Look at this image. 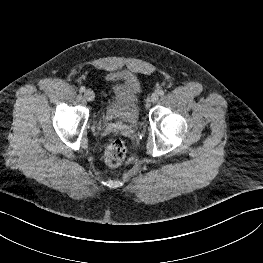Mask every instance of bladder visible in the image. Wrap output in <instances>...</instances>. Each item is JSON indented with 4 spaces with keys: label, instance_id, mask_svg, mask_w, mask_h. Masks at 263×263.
<instances>
[{
    "label": "bladder",
    "instance_id": "1",
    "mask_svg": "<svg viewBox=\"0 0 263 263\" xmlns=\"http://www.w3.org/2000/svg\"><path fill=\"white\" fill-rule=\"evenodd\" d=\"M107 80L110 82V89L103 112L104 119L135 127L140 117L139 79L129 73H114Z\"/></svg>",
    "mask_w": 263,
    "mask_h": 263
}]
</instances>
